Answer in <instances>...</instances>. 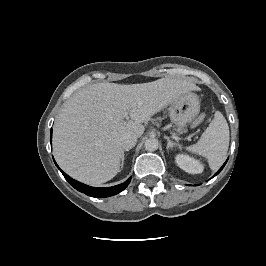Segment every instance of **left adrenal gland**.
Wrapping results in <instances>:
<instances>
[{
	"instance_id": "a2214340",
	"label": "left adrenal gland",
	"mask_w": 266,
	"mask_h": 266,
	"mask_svg": "<svg viewBox=\"0 0 266 266\" xmlns=\"http://www.w3.org/2000/svg\"><path fill=\"white\" fill-rule=\"evenodd\" d=\"M164 138L167 140V151H169V149H173L178 145L177 143L171 141L168 136H164Z\"/></svg>"
}]
</instances>
